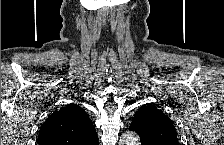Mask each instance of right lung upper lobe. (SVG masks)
Listing matches in <instances>:
<instances>
[{
    "instance_id": "right-lung-upper-lobe-1",
    "label": "right lung upper lobe",
    "mask_w": 224,
    "mask_h": 145,
    "mask_svg": "<svg viewBox=\"0 0 224 145\" xmlns=\"http://www.w3.org/2000/svg\"><path fill=\"white\" fill-rule=\"evenodd\" d=\"M39 145H97L94 125L84 109L69 104L54 111L42 125Z\"/></svg>"
}]
</instances>
